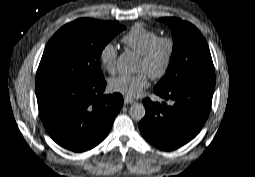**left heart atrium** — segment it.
<instances>
[{
  "instance_id": "left-heart-atrium-1",
  "label": "left heart atrium",
  "mask_w": 255,
  "mask_h": 177,
  "mask_svg": "<svg viewBox=\"0 0 255 177\" xmlns=\"http://www.w3.org/2000/svg\"><path fill=\"white\" fill-rule=\"evenodd\" d=\"M148 86L147 74L144 72L136 75H120L110 81V90L122 94L127 98L138 97Z\"/></svg>"
}]
</instances>
